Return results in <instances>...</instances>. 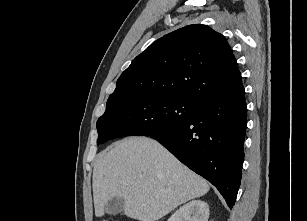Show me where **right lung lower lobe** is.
I'll return each instance as SVG.
<instances>
[{"label": "right lung lower lobe", "mask_w": 307, "mask_h": 221, "mask_svg": "<svg viewBox=\"0 0 307 221\" xmlns=\"http://www.w3.org/2000/svg\"><path fill=\"white\" fill-rule=\"evenodd\" d=\"M246 125L243 89L202 102L190 119L150 137L212 183L232 208L241 181Z\"/></svg>", "instance_id": "obj_1"}]
</instances>
